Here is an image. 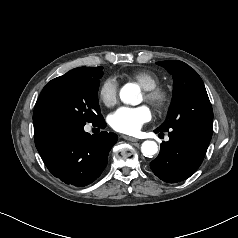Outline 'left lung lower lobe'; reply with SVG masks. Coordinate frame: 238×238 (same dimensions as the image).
I'll use <instances>...</instances> for the list:
<instances>
[{
  "label": "left lung lower lobe",
  "instance_id": "1",
  "mask_svg": "<svg viewBox=\"0 0 238 238\" xmlns=\"http://www.w3.org/2000/svg\"><path fill=\"white\" fill-rule=\"evenodd\" d=\"M166 132L169 141L162 142L160 153L150 163V168L161 180L176 183L187 179L199 168L212 134L184 128ZM155 133L163 134L158 129Z\"/></svg>",
  "mask_w": 238,
  "mask_h": 238
}]
</instances>
